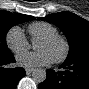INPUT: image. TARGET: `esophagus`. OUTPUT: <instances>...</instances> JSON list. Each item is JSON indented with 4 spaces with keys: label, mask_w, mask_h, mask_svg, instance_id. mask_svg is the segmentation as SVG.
Instances as JSON below:
<instances>
[{
    "label": "esophagus",
    "mask_w": 89,
    "mask_h": 89,
    "mask_svg": "<svg viewBox=\"0 0 89 89\" xmlns=\"http://www.w3.org/2000/svg\"><path fill=\"white\" fill-rule=\"evenodd\" d=\"M33 68H26V73L27 74H31L33 72Z\"/></svg>",
    "instance_id": "esophagus-1"
}]
</instances>
